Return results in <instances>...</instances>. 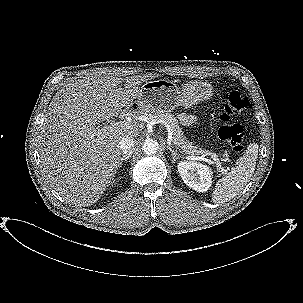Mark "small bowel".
<instances>
[{
  "instance_id": "obj_1",
  "label": "small bowel",
  "mask_w": 303,
  "mask_h": 303,
  "mask_svg": "<svg viewBox=\"0 0 303 303\" xmlns=\"http://www.w3.org/2000/svg\"><path fill=\"white\" fill-rule=\"evenodd\" d=\"M178 119L181 124L185 126H190L195 122V117L193 115L187 114V113H181L178 116Z\"/></svg>"
}]
</instances>
